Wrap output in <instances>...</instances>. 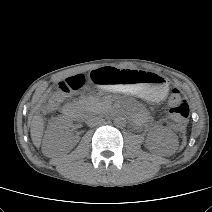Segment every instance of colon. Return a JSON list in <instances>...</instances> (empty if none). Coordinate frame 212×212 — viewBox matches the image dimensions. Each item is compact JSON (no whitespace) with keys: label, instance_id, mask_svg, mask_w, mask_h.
<instances>
[{"label":"colon","instance_id":"colon-1","mask_svg":"<svg viewBox=\"0 0 212 212\" xmlns=\"http://www.w3.org/2000/svg\"><path fill=\"white\" fill-rule=\"evenodd\" d=\"M85 83L86 78L82 74L69 77L60 82L57 91L51 98V105L55 106L59 104L64 97L77 94ZM168 105L171 118L179 125L184 124L189 116L190 108L187 100L182 96L179 89L175 88L172 90Z\"/></svg>","mask_w":212,"mask_h":212}]
</instances>
